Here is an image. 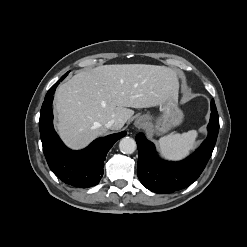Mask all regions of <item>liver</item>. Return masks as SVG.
<instances>
[{
    "mask_svg": "<svg viewBox=\"0 0 247 247\" xmlns=\"http://www.w3.org/2000/svg\"><path fill=\"white\" fill-rule=\"evenodd\" d=\"M176 72L146 64L102 65L74 75L55 92L57 131L72 149L86 147L107 133L115 120L121 129L134 111L157 106L178 95Z\"/></svg>",
    "mask_w": 247,
    "mask_h": 247,
    "instance_id": "1",
    "label": "liver"
}]
</instances>
